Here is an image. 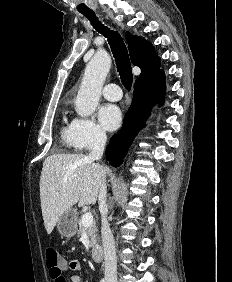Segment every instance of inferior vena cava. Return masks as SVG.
<instances>
[{
    "instance_id": "1",
    "label": "inferior vena cava",
    "mask_w": 232,
    "mask_h": 282,
    "mask_svg": "<svg viewBox=\"0 0 232 282\" xmlns=\"http://www.w3.org/2000/svg\"><path fill=\"white\" fill-rule=\"evenodd\" d=\"M107 136L104 131L97 132L90 154L87 156L89 161H98L102 158ZM107 186L105 179L100 185L99 209L101 212V236L104 248L105 279L107 282H115L117 277V260L114 237L107 220L108 207L106 204Z\"/></svg>"
}]
</instances>
